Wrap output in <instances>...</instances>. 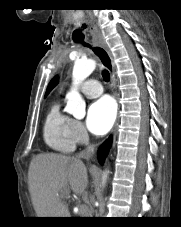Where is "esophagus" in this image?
<instances>
[{"instance_id": "esophagus-1", "label": "esophagus", "mask_w": 181, "mask_h": 227, "mask_svg": "<svg viewBox=\"0 0 181 227\" xmlns=\"http://www.w3.org/2000/svg\"><path fill=\"white\" fill-rule=\"evenodd\" d=\"M93 52L100 59L103 66L110 72L111 81L113 87H115V72H114V62L110 50L108 49L106 43L104 42L102 36L97 31L93 30ZM106 53H104V52Z\"/></svg>"}]
</instances>
